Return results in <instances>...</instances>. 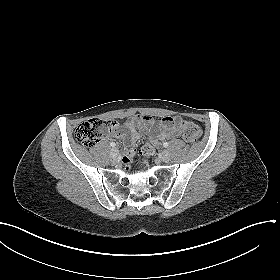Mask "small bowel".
Here are the masks:
<instances>
[{
  "mask_svg": "<svg viewBox=\"0 0 280 280\" xmlns=\"http://www.w3.org/2000/svg\"><path fill=\"white\" fill-rule=\"evenodd\" d=\"M177 117H164L156 121L150 115H138L125 123L126 134L124 140L127 147H131L138 139L137 127H141L146 132H150V141L147 144L152 145L154 148L158 147L163 140L177 138L181 136V131L177 127ZM155 127L161 128L159 133H154L151 130ZM134 149L129 148L125 156H132Z\"/></svg>",
  "mask_w": 280,
  "mask_h": 280,
  "instance_id": "c3829d8e",
  "label": "small bowel"
}]
</instances>
